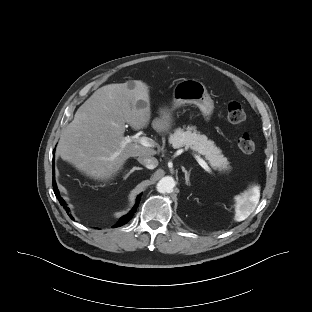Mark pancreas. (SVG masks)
<instances>
[{
    "mask_svg": "<svg viewBox=\"0 0 312 312\" xmlns=\"http://www.w3.org/2000/svg\"><path fill=\"white\" fill-rule=\"evenodd\" d=\"M169 143L172 144L173 148H191L204 155L210 165L220 173H229L232 169L230 162L214 145V142L208 140L205 135L197 133L193 127L187 128V131L177 129L170 135Z\"/></svg>",
    "mask_w": 312,
    "mask_h": 312,
    "instance_id": "pancreas-1",
    "label": "pancreas"
}]
</instances>
